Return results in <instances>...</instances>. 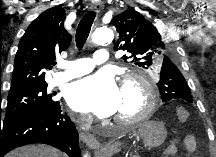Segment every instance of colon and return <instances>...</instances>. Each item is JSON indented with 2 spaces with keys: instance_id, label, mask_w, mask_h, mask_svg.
Instances as JSON below:
<instances>
[{
  "instance_id": "obj_1",
  "label": "colon",
  "mask_w": 216,
  "mask_h": 157,
  "mask_svg": "<svg viewBox=\"0 0 216 157\" xmlns=\"http://www.w3.org/2000/svg\"><path fill=\"white\" fill-rule=\"evenodd\" d=\"M189 111L184 107H179L176 110V117L179 122H186L189 119Z\"/></svg>"
}]
</instances>
